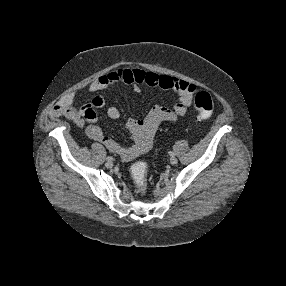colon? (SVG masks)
Returning a JSON list of instances; mask_svg holds the SVG:
<instances>
[{
	"mask_svg": "<svg viewBox=\"0 0 286 286\" xmlns=\"http://www.w3.org/2000/svg\"><path fill=\"white\" fill-rule=\"evenodd\" d=\"M195 107L199 121L207 120L213 111V102L207 92H199L195 97ZM146 164L139 161L132 166L131 174L139 191L144 192L147 187Z\"/></svg>",
	"mask_w": 286,
	"mask_h": 286,
	"instance_id": "5ec220e1",
	"label": "colon"
}]
</instances>
